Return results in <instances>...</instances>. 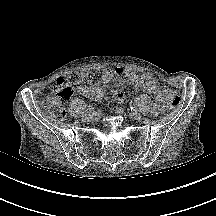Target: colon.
<instances>
[{
	"label": "colon",
	"instance_id": "colon-1",
	"mask_svg": "<svg viewBox=\"0 0 216 216\" xmlns=\"http://www.w3.org/2000/svg\"><path fill=\"white\" fill-rule=\"evenodd\" d=\"M92 76L79 72H70L58 78L53 86V93L44 98V106L56 118L65 116V104L74 93V86L90 82ZM166 103L169 108H177L180 98L171 90L168 91Z\"/></svg>",
	"mask_w": 216,
	"mask_h": 216
}]
</instances>
